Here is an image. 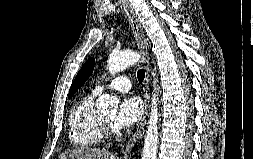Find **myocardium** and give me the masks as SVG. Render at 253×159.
<instances>
[{"instance_id":"myocardium-1","label":"myocardium","mask_w":253,"mask_h":159,"mask_svg":"<svg viewBox=\"0 0 253 159\" xmlns=\"http://www.w3.org/2000/svg\"><path fill=\"white\" fill-rule=\"evenodd\" d=\"M102 127L104 134H113L111 123L103 116H102Z\"/></svg>"}]
</instances>
